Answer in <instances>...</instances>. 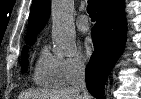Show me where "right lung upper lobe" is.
Returning a JSON list of instances; mask_svg holds the SVG:
<instances>
[{"instance_id": "obj_1", "label": "right lung upper lobe", "mask_w": 141, "mask_h": 99, "mask_svg": "<svg viewBox=\"0 0 141 99\" xmlns=\"http://www.w3.org/2000/svg\"><path fill=\"white\" fill-rule=\"evenodd\" d=\"M107 0H99L100 7ZM50 16V0H33L29 16L26 42L34 43L36 35L44 28Z\"/></svg>"}]
</instances>
